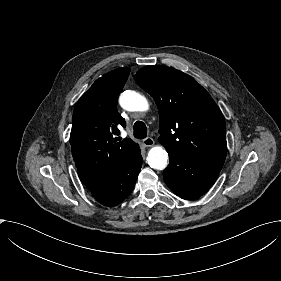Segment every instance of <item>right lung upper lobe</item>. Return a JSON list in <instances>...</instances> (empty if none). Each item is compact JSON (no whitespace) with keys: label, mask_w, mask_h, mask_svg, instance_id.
I'll list each match as a JSON object with an SVG mask.
<instances>
[{"label":"right lung upper lobe","mask_w":281,"mask_h":281,"mask_svg":"<svg viewBox=\"0 0 281 281\" xmlns=\"http://www.w3.org/2000/svg\"><path fill=\"white\" fill-rule=\"evenodd\" d=\"M129 73L128 67L106 73L75 106L70 144L79 178L89 190L116 174L139 148L131 139L117 142L115 137L117 126L125 127L117 101Z\"/></svg>","instance_id":"obj_1"}]
</instances>
